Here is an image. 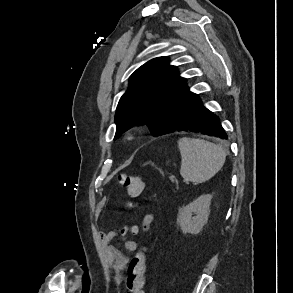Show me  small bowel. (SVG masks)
Instances as JSON below:
<instances>
[{
	"label": "small bowel",
	"instance_id": "obj_1",
	"mask_svg": "<svg viewBox=\"0 0 293 293\" xmlns=\"http://www.w3.org/2000/svg\"><path fill=\"white\" fill-rule=\"evenodd\" d=\"M153 223V216L147 214L141 220V227H150ZM103 248L105 250L106 256L111 264L112 269L115 272V280L118 284L122 281V272L126 268L128 263V258L116 247L112 246L110 242L114 239H121L123 247L129 251L133 252L137 249V245L134 241L125 237V234H120L116 230L101 231L99 233Z\"/></svg>",
	"mask_w": 293,
	"mask_h": 293
}]
</instances>
